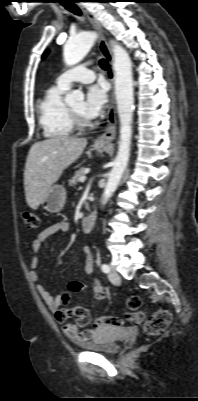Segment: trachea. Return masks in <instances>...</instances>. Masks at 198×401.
Wrapping results in <instances>:
<instances>
[{
	"label": "trachea",
	"instance_id": "1",
	"mask_svg": "<svg viewBox=\"0 0 198 401\" xmlns=\"http://www.w3.org/2000/svg\"><path fill=\"white\" fill-rule=\"evenodd\" d=\"M65 8L75 15H81L80 9L73 3V0L64 4ZM100 67L104 70L108 69V62L106 59H100L99 61Z\"/></svg>",
	"mask_w": 198,
	"mask_h": 401
}]
</instances>
